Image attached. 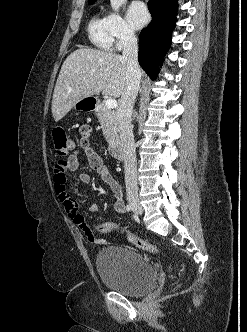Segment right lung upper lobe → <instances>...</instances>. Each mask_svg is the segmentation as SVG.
<instances>
[{"instance_id":"right-lung-upper-lobe-1","label":"right lung upper lobe","mask_w":247,"mask_h":332,"mask_svg":"<svg viewBox=\"0 0 247 332\" xmlns=\"http://www.w3.org/2000/svg\"><path fill=\"white\" fill-rule=\"evenodd\" d=\"M97 0H88V3L89 4H93V3H95Z\"/></svg>"}]
</instances>
